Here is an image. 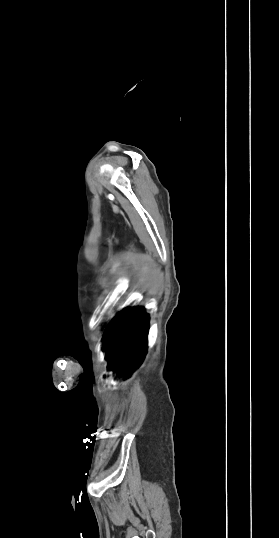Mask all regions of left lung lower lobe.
<instances>
[{
  "label": "left lung lower lobe",
  "mask_w": 279,
  "mask_h": 538,
  "mask_svg": "<svg viewBox=\"0 0 279 538\" xmlns=\"http://www.w3.org/2000/svg\"><path fill=\"white\" fill-rule=\"evenodd\" d=\"M149 317L143 308H127L110 323L104 334L108 367L119 376L140 367L147 353Z\"/></svg>",
  "instance_id": "0a47b994"
}]
</instances>
